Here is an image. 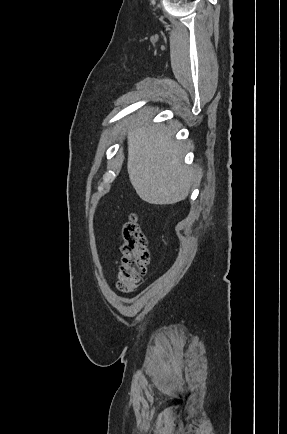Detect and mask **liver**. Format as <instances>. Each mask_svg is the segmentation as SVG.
Wrapping results in <instances>:
<instances>
[{"label":"liver","mask_w":287,"mask_h":434,"mask_svg":"<svg viewBox=\"0 0 287 434\" xmlns=\"http://www.w3.org/2000/svg\"><path fill=\"white\" fill-rule=\"evenodd\" d=\"M148 114L128 130L127 168L138 196L149 204L184 200L194 173L183 164L182 146L165 125H151Z\"/></svg>","instance_id":"6515ba94"}]
</instances>
